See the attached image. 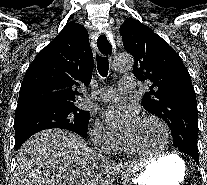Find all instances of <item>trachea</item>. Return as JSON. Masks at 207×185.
<instances>
[{
  "label": "trachea",
  "instance_id": "obj_1",
  "mask_svg": "<svg viewBox=\"0 0 207 185\" xmlns=\"http://www.w3.org/2000/svg\"><path fill=\"white\" fill-rule=\"evenodd\" d=\"M98 48L102 54L107 55L108 53H111L112 47L105 35H100L98 38ZM96 60L100 75H102V77H106L109 69V62L107 57H100V55H97Z\"/></svg>",
  "mask_w": 207,
  "mask_h": 185
}]
</instances>
